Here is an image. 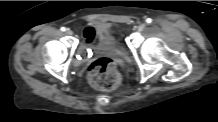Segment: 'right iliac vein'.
I'll use <instances>...</instances> for the list:
<instances>
[{
	"instance_id": "obj_1",
	"label": "right iliac vein",
	"mask_w": 218,
	"mask_h": 122,
	"mask_svg": "<svg viewBox=\"0 0 218 122\" xmlns=\"http://www.w3.org/2000/svg\"><path fill=\"white\" fill-rule=\"evenodd\" d=\"M65 34L70 36L73 34V32L71 30H66Z\"/></svg>"
}]
</instances>
